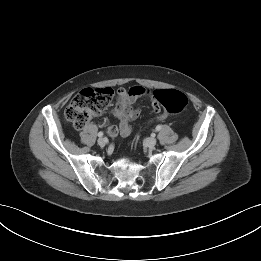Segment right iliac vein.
<instances>
[{
    "instance_id": "63e3f726",
    "label": "right iliac vein",
    "mask_w": 261,
    "mask_h": 261,
    "mask_svg": "<svg viewBox=\"0 0 261 261\" xmlns=\"http://www.w3.org/2000/svg\"><path fill=\"white\" fill-rule=\"evenodd\" d=\"M97 142L98 145L101 147H104L106 145V140L104 138H99Z\"/></svg>"
}]
</instances>
